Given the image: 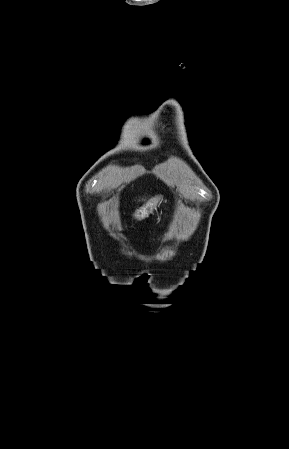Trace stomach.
Returning a JSON list of instances; mask_svg holds the SVG:
<instances>
[{
    "instance_id": "0dacf381",
    "label": "stomach",
    "mask_w": 289,
    "mask_h": 449,
    "mask_svg": "<svg viewBox=\"0 0 289 449\" xmlns=\"http://www.w3.org/2000/svg\"><path fill=\"white\" fill-rule=\"evenodd\" d=\"M160 199L161 197L152 198L144 206L137 209L133 214L135 219L143 220L147 218L153 210L156 209L157 205L160 203Z\"/></svg>"
}]
</instances>
